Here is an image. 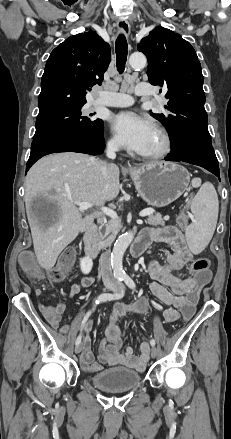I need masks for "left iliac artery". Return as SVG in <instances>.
<instances>
[{
	"label": "left iliac artery",
	"instance_id": "obj_1",
	"mask_svg": "<svg viewBox=\"0 0 231 439\" xmlns=\"http://www.w3.org/2000/svg\"><path fill=\"white\" fill-rule=\"evenodd\" d=\"M123 281L125 282V284H126L129 288H131V289H134V288H135V283H134V281H133L132 278H130L128 275H125V276L123 277ZM150 344H151V346H155V344H156L155 340H154V339H151V340H150Z\"/></svg>",
	"mask_w": 231,
	"mask_h": 439
}]
</instances>
